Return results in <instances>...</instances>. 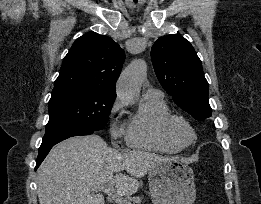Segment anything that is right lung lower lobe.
<instances>
[{
  "label": "right lung lower lobe",
  "mask_w": 261,
  "mask_h": 204,
  "mask_svg": "<svg viewBox=\"0 0 261 204\" xmlns=\"http://www.w3.org/2000/svg\"><path fill=\"white\" fill-rule=\"evenodd\" d=\"M93 132H94L93 130H83V131H74V132H64V133L55 134V135H52L49 137H44L42 144L39 148V154L37 157L35 170L39 167V165L42 163L44 158L47 156V154L49 153V151L55 144L61 142L62 140H65L69 137L80 136V135H90Z\"/></svg>",
  "instance_id": "98d812e1"
}]
</instances>
